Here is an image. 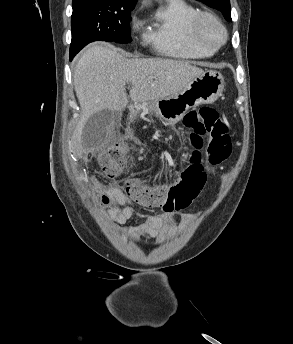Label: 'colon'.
<instances>
[{
  "instance_id": "5ec220e1",
  "label": "colon",
  "mask_w": 293,
  "mask_h": 344,
  "mask_svg": "<svg viewBox=\"0 0 293 344\" xmlns=\"http://www.w3.org/2000/svg\"><path fill=\"white\" fill-rule=\"evenodd\" d=\"M183 125L188 130V138L193 148L190 167L182 173L178 181L170 184L151 185L136 177H126L121 186L137 203L165 211L187 208L204 185L196 181L194 166L201 165L200 149L204 146L205 137L206 159L209 165H220L230 157L232 145L228 124L217 109L202 107L190 111L185 115ZM128 149L126 145H116L97 153L93 159L107 177H116L128 167ZM96 204L106 208L110 206L111 200L104 191L97 189Z\"/></svg>"
}]
</instances>
